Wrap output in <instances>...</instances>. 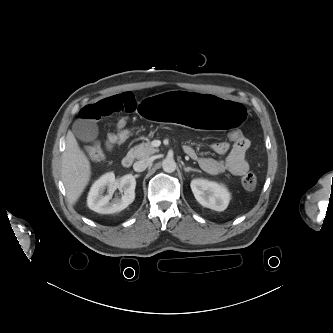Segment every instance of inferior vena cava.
<instances>
[{"mask_svg": "<svg viewBox=\"0 0 333 333\" xmlns=\"http://www.w3.org/2000/svg\"><path fill=\"white\" fill-rule=\"evenodd\" d=\"M151 164V159L146 158V159H142L140 161H137L134 163L133 165V169L136 172H142L144 171L149 165Z\"/></svg>", "mask_w": 333, "mask_h": 333, "instance_id": "602c4592", "label": "inferior vena cava"}]
</instances>
